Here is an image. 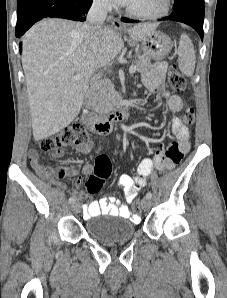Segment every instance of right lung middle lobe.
<instances>
[{"label": "right lung middle lobe", "mask_w": 227, "mask_h": 298, "mask_svg": "<svg viewBox=\"0 0 227 298\" xmlns=\"http://www.w3.org/2000/svg\"><path fill=\"white\" fill-rule=\"evenodd\" d=\"M25 1H27V0H18V5L25 2Z\"/></svg>", "instance_id": "obj_1"}]
</instances>
